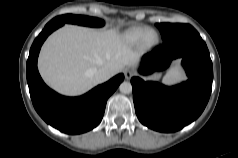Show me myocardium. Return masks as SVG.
<instances>
[{
    "label": "myocardium",
    "instance_id": "1",
    "mask_svg": "<svg viewBox=\"0 0 238 158\" xmlns=\"http://www.w3.org/2000/svg\"><path fill=\"white\" fill-rule=\"evenodd\" d=\"M150 34L154 35V38L151 39V40L149 39ZM158 40H159V37H158L157 32L155 30H152V29H147L145 31V33L143 34L140 42H141V45L144 48H151V47H153L157 44Z\"/></svg>",
    "mask_w": 238,
    "mask_h": 158
}]
</instances>
